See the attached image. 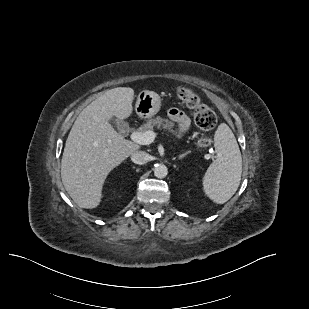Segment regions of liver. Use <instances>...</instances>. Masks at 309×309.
Returning <instances> with one entry per match:
<instances>
[{"mask_svg":"<svg viewBox=\"0 0 309 309\" xmlns=\"http://www.w3.org/2000/svg\"><path fill=\"white\" fill-rule=\"evenodd\" d=\"M134 90H107L90 103L75 120L66 140L62 161V183L81 208H96L102 187L111 170L139 149L124 139L109 123L115 116L128 118L133 110Z\"/></svg>","mask_w":309,"mask_h":309,"instance_id":"liver-1","label":"liver"}]
</instances>
